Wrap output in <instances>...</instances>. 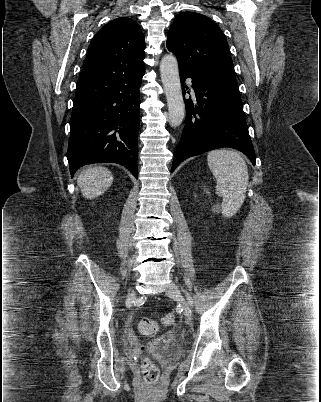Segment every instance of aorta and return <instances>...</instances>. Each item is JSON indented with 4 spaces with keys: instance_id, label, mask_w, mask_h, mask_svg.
<instances>
[{
    "instance_id": "1",
    "label": "aorta",
    "mask_w": 321,
    "mask_h": 402,
    "mask_svg": "<svg viewBox=\"0 0 321 402\" xmlns=\"http://www.w3.org/2000/svg\"><path fill=\"white\" fill-rule=\"evenodd\" d=\"M160 74L167 99L169 123L178 127L185 115L177 58L167 54L161 59Z\"/></svg>"
}]
</instances>
